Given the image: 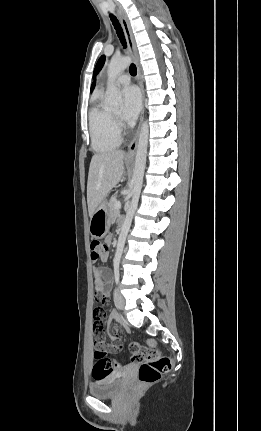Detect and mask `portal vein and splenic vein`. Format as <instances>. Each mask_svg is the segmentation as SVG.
<instances>
[{"mask_svg":"<svg viewBox=\"0 0 261 431\" xmlns=\"http://www.w3.org/2000/svg\"><path fill=\"white\" fill-rule=\"evenodd\" d=\"M115 208H116V209L121 208V203H120V202H116V203H115Z\"/></svg>","mask_w":261,"mask_h":431,"instance_id":"1","label":"portal vein and splenic vein"}]
</instances>
